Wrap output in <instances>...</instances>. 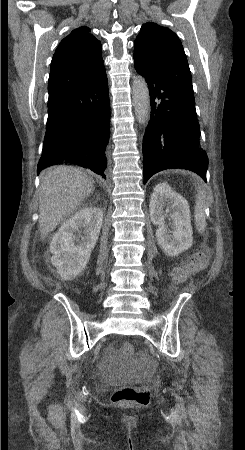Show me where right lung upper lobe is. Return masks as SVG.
I'll use <instances>...</instances> for the list:
<instances>
[{
    "mask_svg": "<svg viewBox=\"0 0 245 450\" xmlns=\"http://www.w3.org/2000/svg\"><path fill=\"white\" fill-rule=\"evenodd\" d=\"M101 43L87 27L64 38L55 51L48 81V105L74 91L104 69Z\"/></svg>",
    "mask_w": 245,
    "mask_h": 450,
    "instance_id": "1",
    "label": "right lung upper lobe"
}]
</instances>
